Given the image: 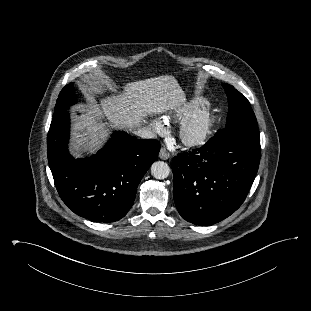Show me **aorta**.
Instances as JSON below:
<instances>
[{"instance_id":"aorta-1","label":"aorta","mask_w":311,"mask_h":311,"mask_svg":"<svg viewBox=\"0 0 311 311\" xmlns=\"http://www.w3.org/2000/svg\"><path fill=\"white\" fill-rule=\"evenodd\" d=\"M151 174L156 179H165L170 174V167L163 161H156L151 166Z\"/></svg>"}]
</instances>
